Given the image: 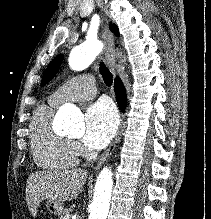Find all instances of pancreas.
Instances as JSON below:
<instances>
[{
    "instance_id": "pancreas-1",
    "label": "pancreas",
    "mask_w": 211,
    "mask_h": 219,
    "mask_svg": "<svg viewBox=\"0 0 211 219\" xmlns=\"http://www.w3.org/2000/svg\"><path fill=\"white\" fill-rule=\"evenodd\" d=\"M59 219H71L70 209L63 210V212L60 214Z\"/></svg>"
}]
</instances>
